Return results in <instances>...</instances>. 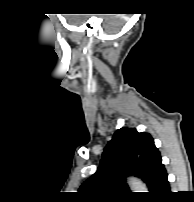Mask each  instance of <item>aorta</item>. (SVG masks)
<instances>
[{"label": "aorta", "instance_id": "aorta-1", "mask_svg": "<svg viewBox=\"0 0 194 202\" xmlns=\"http://www.w3.org/2000/svg\"><path fill=\"white\" fill-rule=\"evenodd\" d=\"M128 183L130 187L134 190H138V191L146 190L145 185L137 179H130Z\"/></svg>", "mask_w": 194, "mask_h": 202}]
</instances>
